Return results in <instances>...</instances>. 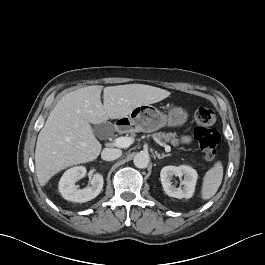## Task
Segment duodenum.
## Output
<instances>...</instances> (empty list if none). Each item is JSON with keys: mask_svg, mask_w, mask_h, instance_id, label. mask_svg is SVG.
I'll return each mask as SVG.
<instances>
[{"mask_svg": "<svg viewBox=\"0 0 265 265\" xmlns=\"http://www.w3.org/2000/svg\"><path fill=\"white\" fill-rule=\"evenodd\" d=\"M123 125H124V123H117L115 126V131L121 132L123 130Z\"/></svg>", "mask_w": 265, "mask_h": 265, "instance_id": "410a0bca", "label": "duodenum"}]
</instances>
